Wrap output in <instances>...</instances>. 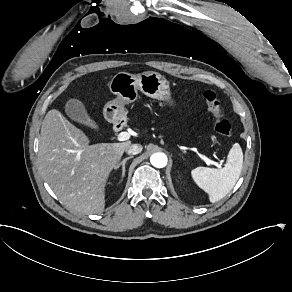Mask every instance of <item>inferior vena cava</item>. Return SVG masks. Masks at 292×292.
<instances>
[{
	"label": "inferior vena cava",
	"mask_w": 292,
	"mask_h": 292,
	"mask_svg": "<svg viewBox=\"0 0 292 292\" xmlns=\"http://www.w3.org/2000/svg\"><path fill=\"white\" fill-rule=\"evenodd\" d=\"M143 147L140 144H132L130 147L126 148V153L129 155H136L141 153Z\"/></svg>",
	"instance_id": "1"
}]
</instances>
